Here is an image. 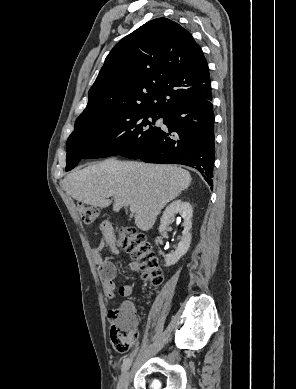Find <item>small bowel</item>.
Listing matches in <instances>:
<instances>
[{"instance_id": "c3829d8e", "label": "small bowel", "mask_w": 296, "mask_h": 389, "mask_svg": "<svg viewBox=\"0 0 296 389\" xmlns=\"http://www.w3.org/2000/svg\"><path fill=\"white\" fill-rule=\"evenodd\" d=\"M99 229L103 235V238L93 249V260L98 267L99 275L103 281V288L106 296L110 299H113L115 297V291L117 287V271L115 265L104 257V253L108 252L115 254L117 250L114 245V236L109 223L103 221L100 224ZM139 268L140 267L137 262L132 261L128 264V269L131 272H138ZM132 292V284H123L118 288V293L122 297H128L132 294ZM121 308H133V304L130 301H124L121 304Z\"/></svg>"}]
</instances>
